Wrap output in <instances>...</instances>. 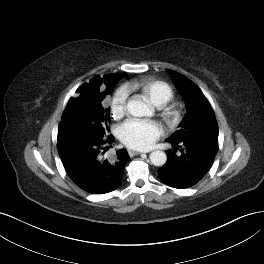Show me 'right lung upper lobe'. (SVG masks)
<instances>
[{
  "mask_svg": "<svg viewBox=\"0 0 264 264\" xmlns=\"http://www.w3.org/2000/svg\"><path fill=\"white\" fill-rule=\"evenodd\" d=\"M126 74L125 73H114L108 74L103 77H95L90 80L89 83L83 84L76 91L78 93L76 98H71L67 104V107L62 115V119L66 116L68 108L77 102L87 100L91 96L98 94L102 91L103 88L109 87L112 84L122 79Z\"/></svg>",
  "mask_w": 264,
  "mask_h": 264,
  "instance_id": "cb5924a9",
  "label": "right lung upper lobe"
}]
</instances>
